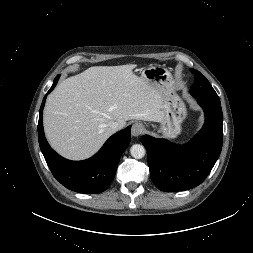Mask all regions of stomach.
Masks as SVG:
<instances>
[{"label": "stomach", "mask_w": 253, "mask_h": 253, "mask_svg": "<svg viewBox=\"0 0 253 253\" xmlns=\"http://www.w3.org/2000/svg\"><path fill=\"white\" fill-rule=\"evenodd\" d=\"M140 77L163 93L164 115L162 121L159 122L158 132L166 138L177 137L182 130L181 124L186 117V109L172 88L170 72L162 66H150L141 69Z\"/></svg>", "instance_id": "stomach-1"}]
</instances>
